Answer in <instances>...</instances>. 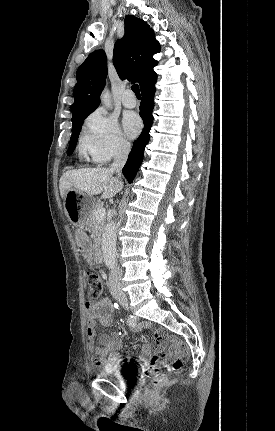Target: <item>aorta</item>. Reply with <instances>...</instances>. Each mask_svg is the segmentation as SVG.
<instances>
[{
  "label": "aorta",
  "instance_id": "1",
  "mask_svg": "<svg viewBox=\"0 0 275 431\" xmlns=\"http://www.w3.org/2000/svg\"><path fill=\"white\" fill-rule=\"evenodd\" d=\"M102 102L107 108H111V99L108 91H104L102 94ZM116 241H117V224L115 221H110L106 225L103 235H102V252H103V260L105 265L109 269H114L117 264V250H116Z\"/></svg>",
  "mask_w": 275,
  "mask_h": 431
}]
</instances>
